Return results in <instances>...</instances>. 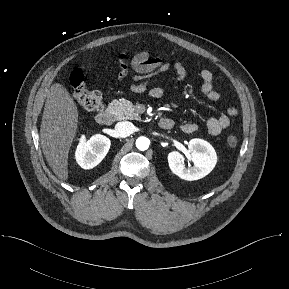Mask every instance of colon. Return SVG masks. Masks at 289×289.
Listing matches in <instances>:
<instances>
[{
  "mask_svg": "<svg viewBox=\"0 0 289 289\" xmlns=\"http://www.w3.org/2000/svg\"><path fill=\"white\" fill-rule=\"evenodd\" d=\"M70 87L72 95L77 103L88 111H99L103 108V98L100 92L90 90L84 82V76L80 70H74L70 75ZM236 136L227 137V145L230 148L237 146Z\"/></svg>",
  "mask_w": 289,
  "mask_h": 289,
  "instance_id": "5ec220e1",
  "label": "colon"
}]
</instances>
